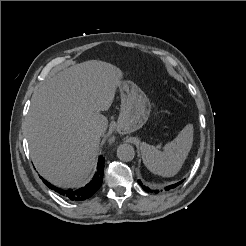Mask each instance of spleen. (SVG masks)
I'll use <instances>...</instances> for the list:
<instances>
[{"instance_id":"1","label":"spleen","mask_w":246,"mask_h":246,"mask_svg":"<svg viewBox=\"0 0 246 246\" xmlns=\"http://www.w3.org/2000/svg\"><path fill=\"white\" fill-rule=\"evenodd\" d=\"M193 144V125H186L177 137L159 151L145 142L140 149L144 165L149 171L163 177L176 175L184 164Z\"/></svg>"}]
</instances>
